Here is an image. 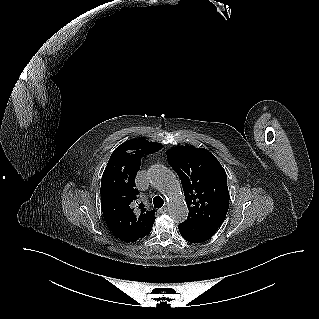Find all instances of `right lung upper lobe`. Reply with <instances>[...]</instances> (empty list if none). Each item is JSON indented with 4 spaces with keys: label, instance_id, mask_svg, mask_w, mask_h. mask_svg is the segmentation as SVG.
<instances>
[{
    "label": "right lung upper lobe",
    "instance_id": "right-lung-upper-lobe-1",
    "mask_svg": "<svg viewBox=\"0 0 319 319\" xmlns=\"http://www.w3.org/2000/svg\"><path fill=\"white\" fill-rule=\"evenodd\" d=\"M159 143L132 139L117 147L101 181V206L107 226L120 240L130 243L147 236L155 221V210L139 203L135 177L141 159L162 149Z\"/></svg>",
    "mask_w": 319,
    "mask_h": 319
}]
</instances>
